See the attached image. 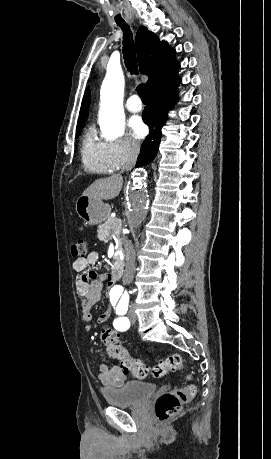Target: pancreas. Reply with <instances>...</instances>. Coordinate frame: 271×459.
<instances>
[{
  "label": "pancreas",
  "instance_id": "obj_1",
  "mask_svg": "<svg viewBox=\"0 0 271 459\" xmlns=\"http://www.w3.org/2000/svg\"><path fill=\"white\" fill-rule=\"evenodd\" d=\"M121 228H122L121 220H119V218H109L106 224H102V226H100V233L101 235H104V237H106V235H109V229H113L116 237H118L120 241L119 235H120Z\"/></svg>",
  "mask_w": 271,
  "mask_h": 459
}]
</instances>
